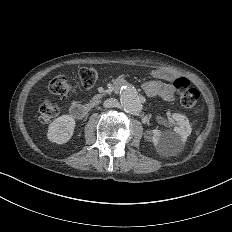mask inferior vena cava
Listing matches in <instances>:
<instances>
[{
  "instance_id": "obj_1",
  "label": "inferior vena cava",
  "mask_w": 232,
  "mask_h": 232,
  "mask_svg": "<svg viewBox=\"0 0 232 232\" xmlns=\"http://www.w3.org/2000/svg\"><path fill=\"white\" fill-rule=\"evenodd\" d=\"M118 104V101L114 98H109L107 100L104 101L103 106L110 108V107H116Z\"/></svg>"
}]
</instances>
